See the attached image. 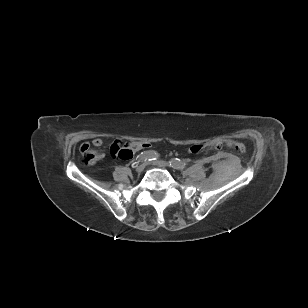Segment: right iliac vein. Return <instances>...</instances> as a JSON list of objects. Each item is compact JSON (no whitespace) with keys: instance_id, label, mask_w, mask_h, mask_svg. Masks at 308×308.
I'll return each mask as SVG.
<instances>
[{"instance_id":"63e3f726","label":"right iliac vein","mask_w":308,"mask_h":308,"mask_svg":"<svg viewBox=\"0 0 308 308\" xmlns=\"http://www.w3.org/2000/svg\"><path fill=\"white\" fill-rule=\"evenodd\" d=\"M146 165H147L146 163L140 164L139 166L136 167V171L142 172L145 169Z\"/></svg>"}]
</instances>
